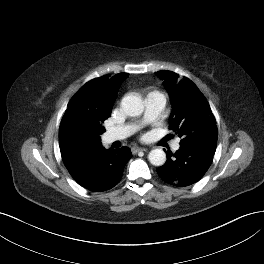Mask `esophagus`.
<instances>
[{
  "mask_svg": "<svg viewBox=\"0 0 264 264\" xmlns=\"http://www.w3.org/2000/svg\"><path fill=\"white\" fill-rule=\"evenodd\" d=\"M140 151H142V152H146V151H148V149H147V148H141V147H133V148L131 149V152H132L133 154H136V153H138V152H140Z\"/></svg>",
  "mask_w": 264,
  "mask_h": 264,
  "instance_id": "34e87169",
  "label": "esophagus"
}]
</instances>
